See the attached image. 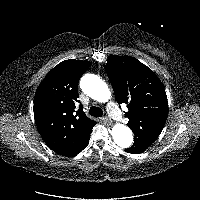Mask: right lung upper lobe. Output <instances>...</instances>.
<instances>
[{"label":"right lung upper lobe","instance_id":"right-lung-upper-lobe-1","mask_svg":"<svg viewBox=\"0 0 200 200\" xmlns=\"http://www.w3.org/2000/svg\"><path fill=\"white\" fill-rule=\"evenodd\" d=\"M89 61L66 60L55 66L38 86L34 97V119L45 143L56 153L75 156L89 138L95 121L78 102L80 77Z\"/></svg>","mask_w":200,"mask_h":200}]
</instances>
